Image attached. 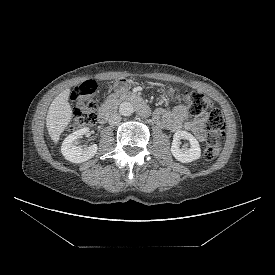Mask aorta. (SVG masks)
Here are the masks:
<instances>
[{"label": "aorta", "instance_id": "762f6f07", "mask_svg": "<svg viewBox=\"0 0 275 275\" xmlns=\"http://www.w3.org/2000/svg\"><path fill=\"white\" fill-rule=\"evenodd\" d=\"M119 113L122 116H131L134 113V106L130 102H123L119 106Z\"/></svg>", "mask_w": 275, "mask_h": 275}]
</instances>
